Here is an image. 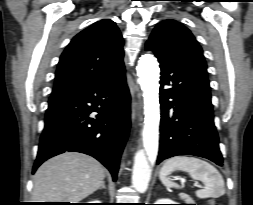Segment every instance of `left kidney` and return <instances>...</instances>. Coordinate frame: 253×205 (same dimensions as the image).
<instances>
[{
  "instance_id": "1",
  "label": "left kidney",
  "mask_w": 253,
  "mask_h": 205,
  "mask_svg": "<svg viewBox=\"0 0 253 205\" xmlns=\"http://www.w3.org/2000/svg\"><path fill=\"white\" fill-rule=\"evenodd\" d=\"M155 204H178V203L170 199H159L157 200V202H155Z\"/></svg>"
}]
</instances>
